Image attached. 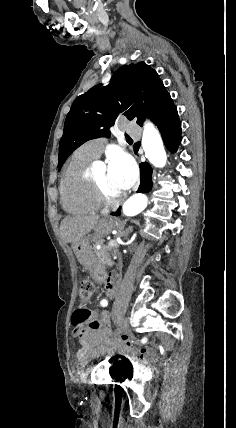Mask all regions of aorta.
Segmentation results:
<instances>
[{"mask_svg": "<svg viewBox=\"0 0 236 428\" xmlns=\"http://www.w3.org/2000/svg\"><path fill=\"white\" fill-rule=\"evenodd\" d=\"M142 147L146 158L153 166L162 168L166 165L167 155L160 133L150 121H147L144 124ZM147 204L148 198L145 194H134L124 203L122 207L123 213L126 216H135L142 212L147 207ZM118 253L119 250L116 247L110 251V254L114 259L117 258Z\"/></svg>", "mask_w": 236, "mask_h": 428, "instance_id": "aorta-1", "label": "aorta"}]
</instances>
